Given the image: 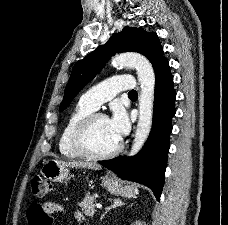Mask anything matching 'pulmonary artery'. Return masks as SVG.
Returning <instances> with one entry per match:
<instances>
[{
    "label": "pulmonary artery",
    "mask_w": 228,
    "mask_h": 225,
    "mask_svg": "<svg viewBox=\"0 0 228 225\" xmlns=\"http://www.w3.org/2000/svg\"><path fill=\"white\" fill-rule=\"evenodd\" d=\"M131 75H119L109 79V81H101V85H94V89H90L83 93L80 102L92 108L99 109L102 103L111 99L114 94H119V90H135V81H110V80H131Z\"/></svg>",
    "instance_id": "e3ab8cb5"
}]
</instances>
